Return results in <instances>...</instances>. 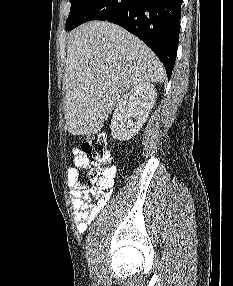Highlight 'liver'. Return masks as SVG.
I'll use <instances>...</instances> for the list:
<instances>
[{"label": "liver", "mask_w": 233, "mask_h": 286, "mask_svg": "<svg viewBox=\"0 0 233 286\" xmlns=\"http://www.w3.org/2000/svg\"><path fill=\"white\" fill-rule=\"evenodd\" d=\"M164 80L162 64L140 39L107 21L85 23L67 44L66 129L95 134L130 87Z\"/></svg>", "instance_id": "liver-1"}]
</instances>
